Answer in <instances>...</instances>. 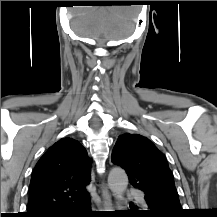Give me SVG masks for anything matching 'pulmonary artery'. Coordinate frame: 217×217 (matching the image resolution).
<instances>
[{"label":"pulmonary artery","instance_id":"obj_1","mask_svg":"<svg viewBox=\"0 0 217 217\" xmlns=\"http://www.w3.org/2000/svg\"><path fill=\"white\" fill-rule=\"evenodd\" d=\"M127 196L136 198L140 204L146 203L144 198H143L142 193H140L139 191L129 189V190H127Z\"/></svg>","mask_w":217,"mask_h":217}]
</instances>
